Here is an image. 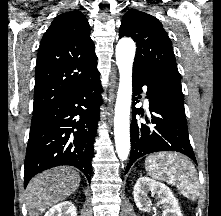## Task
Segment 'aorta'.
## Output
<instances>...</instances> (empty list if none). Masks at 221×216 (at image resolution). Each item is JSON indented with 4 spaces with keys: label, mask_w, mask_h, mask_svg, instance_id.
<instances>
[{
    "label": "aorta",
    "mask_w": 221,
    "mask_h": 216,
    "mask_svg": "<svg viewBox=\"0 0 221 216\" xmlns=\"http://www.w3.org/2000/svg\"><path fill=\"white\" fill-rule=\"evenodd\" d=\"M136 45L130 38H122L116 45V64L120 80L114 116V136L118 157L124 161L130 152V107L132 99V66Z\"/></svg>",
    "instance_id": "762f6f07"
}]
</instances>
